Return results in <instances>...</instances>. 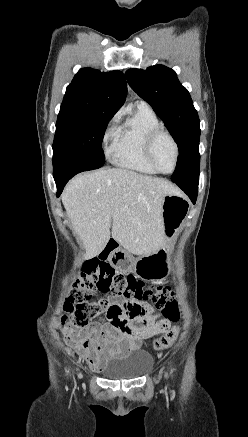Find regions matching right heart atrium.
Returning <instances> with one entry per match:
<instances>
[{
	"label": "right heart atrium",
	"instance_id": "1",
	"mask_svg": "<svg viewBox=\"0 0 248 437\" xmlns=\"http://www.w3.org/2000/svg\"><path fill=\"white\" fill-rule=\"evenodd\" d=\"M118 119H119V114H115L113 118L109 121L108 125L106 126L102 137V142L104 146H107V144L111 140L115 139Z\"/></svg>",
	"mask_w": 248,
	"mask_h": 437
}]
</instances>
